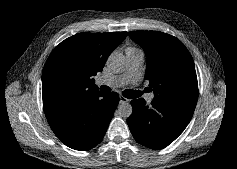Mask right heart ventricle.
<instances>
[{"mask_svg":"<svg viewBox=\"0 0 237 169\" xmlns=\"http://www.w3.org/2000/svg\"><path fill=\"white\" fill-rule=\"evenodd\" d=\"M141 52L139 49H135V48H128L127 49V54H134V53H138Z\"/></svg>","mask_w":237,"mask_h":169,"instance_id":"obj_1","label":"right heart ventricle"}]
</instances>
